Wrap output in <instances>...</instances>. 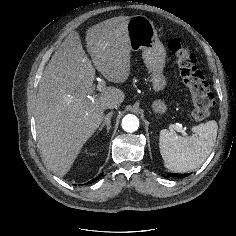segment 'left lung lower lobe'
<instances>
[{
  "label": "left lung lower lobe",
  "mask_w": 236,
  "mask_h": 236,
  "mask_svg": "<svg viewBox=\"0 0 236 236\" xmlns=\"http://www.w3.org/2000/svg\"><path fill=\"white\" fill-rule=\"evenodd\" d=\"M189 174H176V173H171L170 175L166 176V177H186Z\"/></svg>",
  "instance_id": "left-lung-lower-lobe-1"
}]
</instances>
